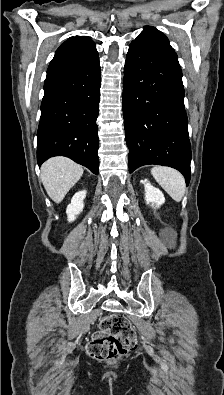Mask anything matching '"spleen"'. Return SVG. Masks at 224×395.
I'll return each instance as SVG.
<instances>
[{
	"instance_id": "1",
	"label": "spleen",
	"mask_w": 224,
	"mask_h": 395,
	"mask_svg": "<svg viewBox=\"0 0 224 395\" xmlns=\"http://www.w3.org/2000/svg\"><path fill=\"white\" fill-rule=\"evenodd\" d=\"M151 174L173 200L176 202L182 200L186 185L179 171L170 167L155 166L151 169Z\"/></svg>"
}]
</instances>
